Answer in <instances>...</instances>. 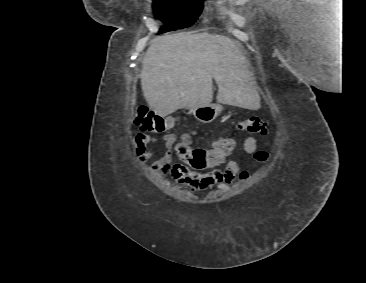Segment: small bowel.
I'll use <instances>...</instances> for the list:
<instances>
[{
	"instance_id": "c3829d8e",
	"label": "small bowel",
	"mask_w": 366,
	"mask_h": 283,
	"mask_svg": "<svg viewBox=\"0 0 366 283\" xmlns=\"http://www.w3.org/2000/svg\"><path fill=\"white\" fill-rule=\"evenodd\" d=\"M164 142V154L150 165V169L161 176H169L171 180L178 183L190 192L204 191L215 186L230 185L240 173L239 163L231 160L226 163L225 169L217 167L225 162L230 154H224L219 148L213 149L218 162L200 172L191 169L184 164H173V148L177 137L175 134H165L162 137ZM156 139L146 134L136 136V157L140 163H145L152 157L154 151L148 148V144L155 142ZM257 149V141L253 136H248L243 143V150L247 154H253Z\"/></svg>"
}]
</instances>
